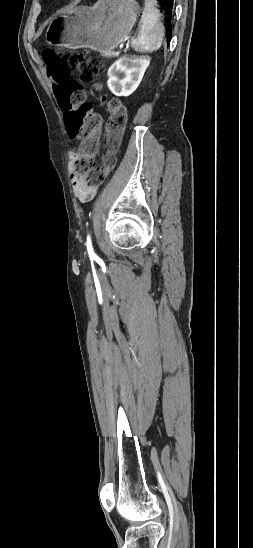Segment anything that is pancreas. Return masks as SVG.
Instances as JSON below:
<instances>
[{
  "label": "pancreas",
  "instance_id": "1",
  "mask_svg": "<svg viewBox=\"0 0 253 548\" xmlns=\"http://www.w3.org/2000/svg\"><path fill=\"white\" fill-rule=\"evenodd\" d=\"M103 55H104V57H106V58H113V57L116 56L115 53L112 52V51L107 52V53H104Z\"/></svg>",
  "mask_w": 253,
  "mask_h": 548
}]
</instances>
